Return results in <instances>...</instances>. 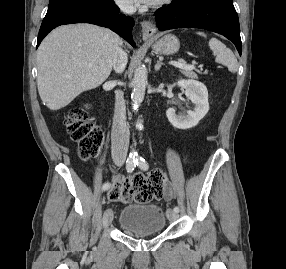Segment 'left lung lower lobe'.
Here are the masks:
<instances>
[{
	"label": "left lung lower lobe",
	"instance_id": "left-lung-lower-lobe-1",
	"mask_svg": "<svg viewBox=\"0 0 286 269\" xmlns=\"http://www.w3.org/2000/svg\"><path fill=\"white\" fill-rule=\"evenodd\" d=\"M160 31L175 28H201L231 40L241 55L239 20L232 0H173L156 11Z\"/></svg>",
	"mask_w": 286,
	"mask_h": 269
}]
</instances>
